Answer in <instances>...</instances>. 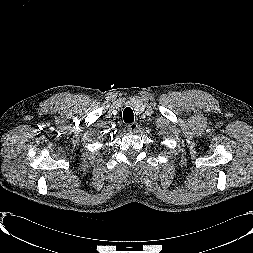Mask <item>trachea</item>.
<instances>
[{"instance_id":"trachea-1","label":"trachea","mask_w":253,"mask_h":253,"mask_svg":"<svg viewBox=\"0 0 253 253\" xmlns=\"http://www.w3.org/2000/svg\"><path fill=\"white\" fill-rule=\"evenodd\" d=\"M123 119L125 123H132L134 121L133 110L131 108H125L123 112Z\"/></svg>"}]
</instances>
